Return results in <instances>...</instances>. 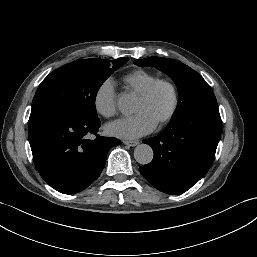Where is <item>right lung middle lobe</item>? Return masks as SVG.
Segmentation results:
<instances>
[{"instance_id": "obj_1", "label": "right lung middle lobe", "mask_w": 257, "mask_h": 257, "mask_svg": "<svg viewBox=\"0 0 257 257\" xmlns=\"http://www.w3.org/2000/svg\"><path fill=\"white\" fill-rule=\"evenodd\" d=\"M128 58L109 62L104 59H84L50 73L39 85L32 102L31 113L52 112L74 118H97L95 99L104 81Z\"/></svg>"}]
</instances>
